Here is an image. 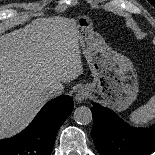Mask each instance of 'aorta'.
I'll use <instances>...</instances> for the list:
<instances>
[{
	"mask_svg": "<svg viewBox=\"0 0 155 155\" xmlns=\"http://www.w3.org/2000/svg\"><path fill=\"white\" fill-rule=\"evenodd\" d=\"M74 120L80 125L89 124L92 121V113L90 108L86 106L77 107L74 111Z\"/></svg>",
	"mask_w": 155,
	"mask_h": 155,
	"instance_id": "obj_1",
	"label": "aorta"
}]
</instances>
